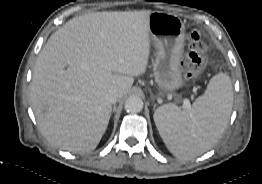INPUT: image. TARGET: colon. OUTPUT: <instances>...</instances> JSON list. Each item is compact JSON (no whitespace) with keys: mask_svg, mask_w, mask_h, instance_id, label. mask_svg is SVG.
Here are the masks:
<instances>
[{"mask_svg":"<svg viewBox=\"0 0 262 184\" xmlns=\"http://www.w3.org/2000/svg\"><path fill=\"white\" fill-rule=\"evenodd\" d=\"M188 40V53L182 62L183 75L186 80H195L206 67L207 45L197 31L190 32Z\"/></svg>","mask_w":262,"mask_h":184,"instance_id":"colon-1","label":"colon"}]
</instances>
